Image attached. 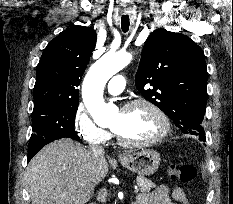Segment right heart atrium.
Wrapping results in <instances>:
<instances>
[{
    "instance_id": "obj_1",
    "label": "right heart atrium",
    "mask_w": 233,
    "mask_h": 204,
    "mask_svg": "<svg viewBox=\"0 0 233 204\" xmlns=\"http://www.w3.org/2000/svg\"><path fill=\"white\" fill-rule=\"evenodd\" d=\"M73 127L76 134L89 144H102L107 142L111 137L107 130L94 122L83 105H79L76 108L73 118Z\"/></svg>"
}]
</instances>
